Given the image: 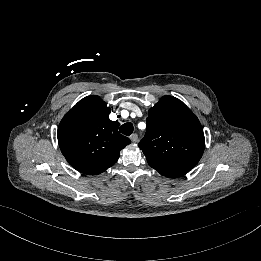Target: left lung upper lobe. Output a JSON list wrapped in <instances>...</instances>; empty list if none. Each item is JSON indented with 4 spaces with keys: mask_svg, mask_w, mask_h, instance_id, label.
Returning <instances> with one entry per match:
<instances>
[{
    "mask_svg": "<svg viewBox=\"0 0 261 261\" xmlns=\"http://www.w3.org/2000/svg\"><path fill=\"white\" fill-rule=\"evenodd\" d=\"M139 148L148 164L167 177H179L200 160L205 138L198 118L179 99L163 96L150 108Z\"/></svg>",
    "mask_w": 261,
    "mask_h": 261,
    "instance_id": "1",
    "label": "left lung upper lobe"
}]
</instances>
